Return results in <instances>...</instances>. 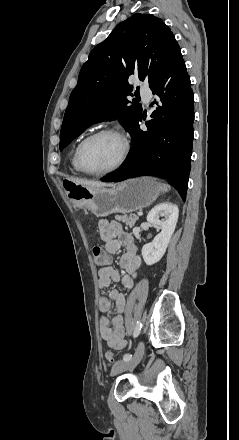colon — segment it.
Segmentation results:
<instances>
[{
	"mask_svg": "<svg viewBox=\"0 0 239 440\" xmlns=\"http://www.w3.org/2000/svg\"><path fill=\"white\" fill-rule=\"evenodd\" d=\"M93 257H94V261L97 265H105L107 262V258L105 256V253L103 252V250L101 249V247L96 246L93 248ZM105 359L108 362H113L114 361V354L111 351H107L105 353Z\"/></svg>",
	"mask_w": 239,
	"mask_h": 440,
	"instance_id": "obj_1",
	"label": "colon"
}]
</instances>
